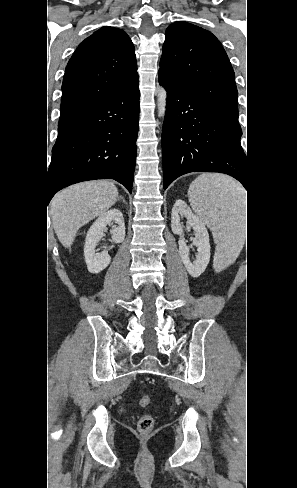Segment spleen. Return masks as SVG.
Instances as JSON below:
<instances>
[{"label":"spleen","instance_id":"3e777b00","mask_svg":"<svg viewBox=\"0 0 297 488\" xmlns=\"http://www.w3.org/2000/svg\"><path fill=\"white\" fill-rule=\"evenodd\" d=\"M188 198L192 209L210 228L217 242L214 264H229L243 246L244 189L228 176L202 174L191 183Z\"/></svg>","mask_w":297,"mask_h":488}]
</instances>
